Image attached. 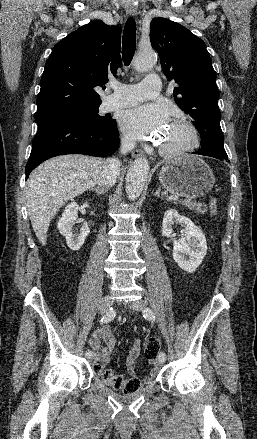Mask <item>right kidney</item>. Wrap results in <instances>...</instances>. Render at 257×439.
Returning a JSON list of instances; mask_svg holds the SVG:
<instances>
[{
	"instance_id": "1",
	"label": "right kidney",
	"mask_w": 257,
	"mask_h": 439,
	"mask_svg": "<svg viewBox=\"0 0 257 439\" xmlns=\"http://www.w3.org/2000/svg\"><path fill=\"white\" fill-rule=\"evenodd\" d=\"M78 209L79 206L76 202L68 204L57 224L60 234L66 238L68 247L73 251H77L82 247L90 232L87 225H83L79 233L73 231V224L78 222Z\"/></svg>"
}]
</instances>
